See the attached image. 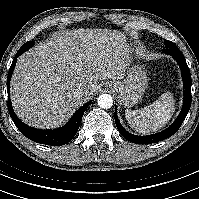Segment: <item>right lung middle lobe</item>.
Here are the masks:
<instances>
[{"instance_id":"right-lung-middle-lobe-1","label":"right lung middle lobe","mask_w":199,"mask_h":199,"mask_svg":"<svg viewBox=\"0 0 199 199\" xmlns=\"http://www.w3.org/2000/svg\"><path fill=\"white\" fill-rule=\"evenodd\" d=\"M24 45H30V47H32V46L34 45V42L28 41V42H26Z\"/></svg>"}]
</instances>
